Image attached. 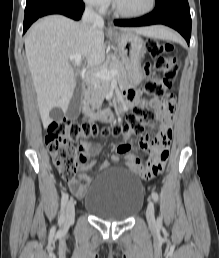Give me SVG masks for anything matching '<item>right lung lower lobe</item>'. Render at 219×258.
<instances>
[{
  "mask_svg": "<svg viewBox=\"0 0 219 258\" xmlns=\"http://www.w3.org/2000/svg\"><path fill=\"white\" fill-rule=\"evenodd\" d=\"M81 0H41L29 9H25L24 33L38 18L49 14H62L79 20L84 10Z\"/></svg>",
  "mask_w": 219,
  "mask_h": 258,
  "instance_id": "obj_1",
  "label": "right lung lower lobe"
}]
</instances>
